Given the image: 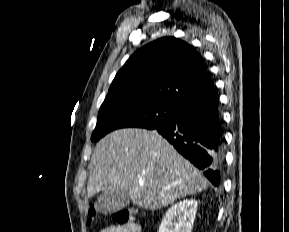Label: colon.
<instances>
[{"label": "colon", "instance_id": "1", "mask_svg": "<svg viewBox=\"0 0 289 232\" xmlns=\"http://www.w3.org/2000/svg\"><path fill=\"white\" fill-rule=\"evenodd\" d=\"M95 215L94 207L89 209V223L91 222V218ZM113 220L117 223L118 226H124L131 222L133 218V212L129 209H120L116 210L112 214Z\"/></svg>", "mask_w": 289, "mask_h": 232}]
</instances>
